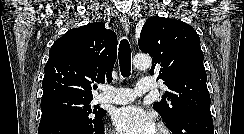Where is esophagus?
I'll use <instances>...</instances> for the list:
<instances>
[{
	"mask_svg": "<svg viewBox=\"0 0 244 134\" xmlns=\"http://www.w3.org/2000/svg\"><path fill=\"white\" fill-rule=\"evenodd\" d=\"M122 27L125 33L128 35L130 33V22L127 16H122L121 18Z\"/></svg>",
	"mask_w": 244,
	"mask_h": 134,
	"instance_id": "34e87169",
	"label": "esophagus"
}]
</instances>
